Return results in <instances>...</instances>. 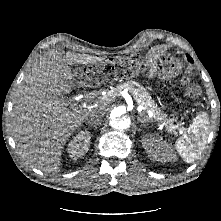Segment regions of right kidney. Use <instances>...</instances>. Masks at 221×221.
Segmentation results:
<instances>
[{
	"instance_id": "right-kidney-1",
	"label": "right kidney",
	"mask_w": 221,
	"mask_h": 221,
	"mask_svg": "<svg viewBox=\"0 0 221 221\" xmlns=\"http://www.w3.org/2000/svg\"><path fill=\"white\" fill-rule=\"evenodd\" d=\"M91 134L89 131L79 132L68 144L67 152L72 159L84 156L90 146Z\"/></svg>"
}]
</instances>
